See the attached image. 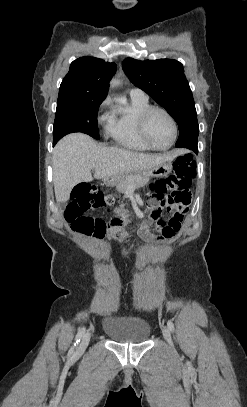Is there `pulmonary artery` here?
Listing matches in <instances>:
<instances>
[{
	"label": "pulmonary artery",
	"instance_id": "1",
	"mask_svg": "<svg viewBox=\"0 0 247 407\" xmlns=\"http://www.w3.org/2000/svg\"><path fill=\"white\" fill-rule=\"evenodd\" d=\"M130 96L133 98L148 99V96L146 95V93L138 88L131 89Z\"/></svg>",
	"mask_w": 247,
	"mask_h": 407
}]
</instances>
